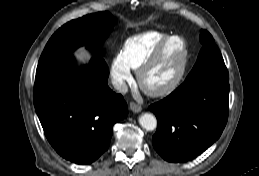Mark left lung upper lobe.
I'll return each mask as SVG.
<instances>
[{"instance_id":"5c2ea615","label":"left lung upper lobe","mask_w":259,"mask_h":176,"mask_svg":"<svg viewBox=\"0 0 259 176\" xmlns=\"http://www.w3.org/2000/svg\"><path fill=\"white\" fill-rule=\"evenodd\" d=\"M199 39L202 43V49L200 50L193 69L185 81L206 74L229 77L223 57L211 34L206 30H201Z\"/></svg>"}]
</instances>
